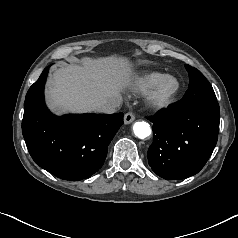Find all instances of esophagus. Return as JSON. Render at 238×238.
Returning <instances> with one entry per match:
<instances>
[{"instance_id":"1","label":"esophagus","mask_w":238,"mask_h":238,"mask_svg":"<svg viewBox=\"0 0 238 238\" xmlns=\"http://www.w3.org/2000/svg\"><path fill=\"white\" fill-rule=\"evenodd\" d=\"M135 120V115L132 112H128L124 116V123L130 124Z\"/></svg>"}]
</instances>
